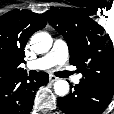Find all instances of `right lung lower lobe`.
Instances as JSON below:
<instances>
[{"instance_id": "98d812e1", "label": "right lung lower lobe", "mask_w": 114, "mask_h": 114, "mask_svg": "<svg viewBox=\"0 0 114 114\" xmlns=\"http://www.w3.org/2000/svg\"><path fill=\"white\" fill-rule=\"evenodd\" d=\"M47 73L35 77L22 74L0 79V114H28L31 112L37 89L48 83Z\"/></svg>"}]
</instances>
